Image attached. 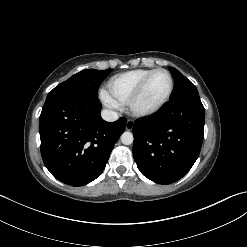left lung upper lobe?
I'll return each instance as SVG.
<instances>
[{
	"label": "left lung upper lobe",
	"mask_w": 247,
	"mask_h": 247,
	"mask_svg": "<svg viewBox=\"0 0 247 247\" xmlns=\"http://www.w3.org/2000/svg\"><path fill=\"white\" fill-rule=\"evenodd\" d=\"M169 70L175 80V90L171 101L189 96H199L196 87L190 80L173 67H169Z\"/></svg>",
	"instance_id": "left-lung-upper-lobe-1"
}]
</instances>
